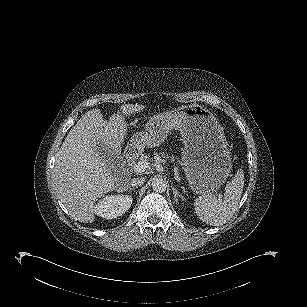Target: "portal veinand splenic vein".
<instances>
[{"label":"portal vein and splenic vein","mask_w":307,"mask_h":307,"mask_svg":"<svg viewBox=\"0 0 307 307\" xmlns=\"http://www.w3.org/2000/svg\"><path fill=\"white\" fill-rule=\"evenodd\" d=\"M149 167V162L143 160L135 163L133 165V170L135 173H141L144 172Z\"/></svg>","instance_id":"obj_1"}]
</instances>
